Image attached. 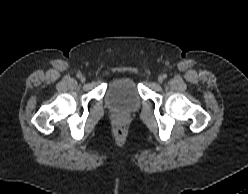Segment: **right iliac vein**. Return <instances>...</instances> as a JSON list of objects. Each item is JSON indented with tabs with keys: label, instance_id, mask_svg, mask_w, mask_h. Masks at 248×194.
<instances>
[{
	"label": "right iliac vein",
	"instance_id": "obj_1",
	"mask_svg": "<svg viewBox=\"0 0 248 194\" xmlns=\"http://www.w3.org/2000/svg\"><path fill=\"white\" fill-rule=\"evenodd\" d=\"M80 80H81V81H84V80H85V78H84L83 76H81V77H80Z\"/></svg>",
	"mask_w": 248,
	"mask_h": 194
}]
</instances>
